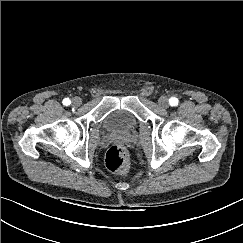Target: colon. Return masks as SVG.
Listing matches in <instances>:
<instances>
[{
    "label": "colon",
    "mask_w": 243,
    "mask_h": 243,
    "mask_svg": "<svg viewBox=\"0 0 243 243\" xmlns=\"http://www.w3.org/2000/svg\"><path fill=\"white\" fill-rule=\"evenodd\" d=\"M105 161L107 168L115 173L124 174L129 168L127 152L120 145H114L108 149Z\"/></svg>",
    "instance_id": "colon-1"
}]
</instances>
